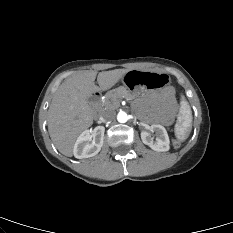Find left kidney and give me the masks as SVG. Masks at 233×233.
Returning a JSON list of instances; mask_svg holds the SVG:
<instances>
[{
  "label": "left kidney",
  "mask_w": 233,
  "mask_h": 233,
  "mask_svg": "<svg viewBox=\"0 0 233 233\" xmlns=\"http://www.w3.org/2000/svg\"><path fill=\"white\" fill-rule=\"evenodd\" d=\"M149 130L155 132L157 138L154 141L148 132L143 131L141 133L143 143L158 152L168 151L170 149V141L166 129L162 125L154 124L149 127Z\"/></svg>",
  "instance_id": "1"
}]
</instances>
